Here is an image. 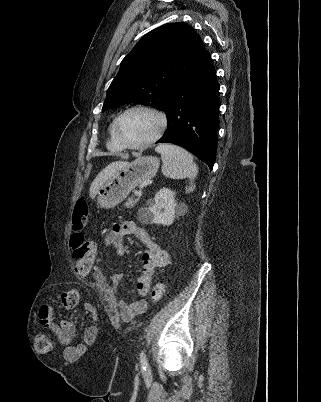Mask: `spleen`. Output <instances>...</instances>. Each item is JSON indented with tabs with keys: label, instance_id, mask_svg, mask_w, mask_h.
<instances>
[{
	"label": "spleen",
	"instance_id": "spleen-1",
	"mask_svg": "<svg viewBox=\"0 0 321 402\" xmlns=\"http://www.w3.org/2000/svg\"><path fill=\"white\" fill-rule=\"evenodd\" d=\"M155 151L161 155L163 175L171 179L188 178L190 186L186 188V192H192L195 189L194 180L198 174V167L193 161V156L182 147L167 143L158 145Z\"/></svg>",
	"mask_w": 321,
	"mask_h": 402
}]
</instances>
